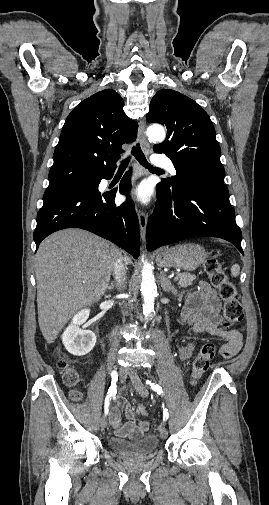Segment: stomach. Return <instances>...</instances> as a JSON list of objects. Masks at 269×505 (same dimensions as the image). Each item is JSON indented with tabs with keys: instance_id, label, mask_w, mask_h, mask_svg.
Segmentation results:
<instances>
[{
	"instance_id": "0dacf381",
	"label": "stomach",
	"mask_w": 269,
	"mask_h": 505,
	"mask_svg": "<svg viewBox=\"0 0 269 505\" xmlns=\"http://www.w3.org/2000/svg\"><path fill=\"white\" fill-rule=\"evenodd\" d=\"M208 253L201 245L186 243L160 249L156 253V262L160 267H175L193 271L207 258Z\"/></svg>"
}]
</instances>
